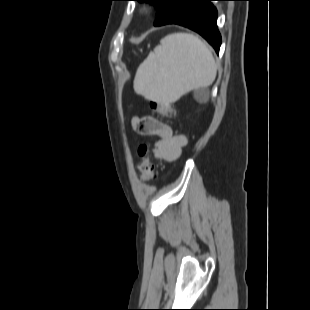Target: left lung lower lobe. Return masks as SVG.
Segmentation results:
<instances>
[{"label":"left lung lower lobe","mask_w":310,"mask_h":310,"mask_svg":"<svg viewBox=\"0 0 310 310\" xmlns=\"http://www.w3.org/2000/svg\"><path fill=\"white\" fill-rule=\"evenodd\" d=\"M211 1L217 0H186L170 24H178L199 33L218 53L221 36L216 25L217 10Z\"/></svg>","instance_id":"0a47b994"}]
</instances>
